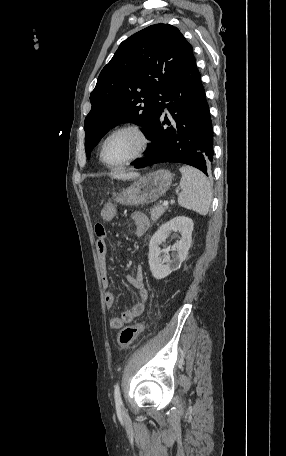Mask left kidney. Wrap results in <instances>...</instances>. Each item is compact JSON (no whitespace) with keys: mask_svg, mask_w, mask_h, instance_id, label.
Wrapping results in <instances>:
<instances>
[{"mask_svg":"<svg viewBox=\"0 0 286 456\" xmlns=\"http://www.w3.org/2000/svg\"><path fill=\"white\" fill-rule=\"evenodd\" d=\"M193 225L192 219L178 216L161 225L152 236L149 243L148 258L154 278L163 279L180 268L182 262L187 258L188 250L191 247ZM172 231H179L181 234L180 241L172 246V249L177 251V256L174 259H170L167 255L161 256L159 247Z\"/></svg>","mask_w":286,"mask_h":456,"instance_id":"5707ae66","label":"left kidney"}]
</instances>
